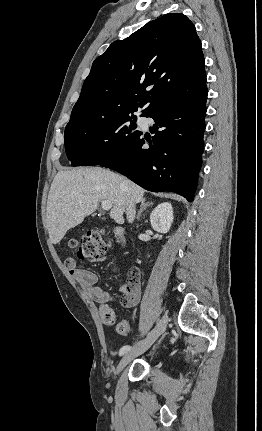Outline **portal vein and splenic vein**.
Here are the masks:
<instances>
[{"label": "portal vein and splenic vein", "instance_id": "portal-vein-and-splenic-vein-1", "mask_svg": "<svg viewBox=\"0 0 262 431\" xmlns=\"http://www.w3.org/2000/svg\"><path fill=\"white\" fill-rule=\"evenodd\" d=\"M101 206H102L103 210L108 211L112 208V203L110 201H107V200H102Z\"/></svg>", "mask_w": 262, "mask_h": 431}]
</instances>
